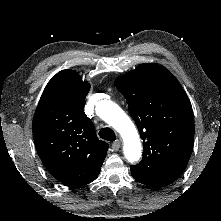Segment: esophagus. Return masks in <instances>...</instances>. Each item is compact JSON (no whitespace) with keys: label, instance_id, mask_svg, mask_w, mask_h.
Wrapping results in <instances>:
<instances>
[{"label":"esophagus","instance_id":"obj_1","mask_svg":"<svg viewBox=\"0 0 221 221\" xmlns=\"http://www.w3.org/2000/svg\"><path fill=\"white\" fill-rule=\"evenodd\" d=\"M120 146H121V141L120 140H116V141H114L112 143L111 148H112L113 151H118Z\"/></svg>","mask_w":221,"mask_h":221}]
</instances>
